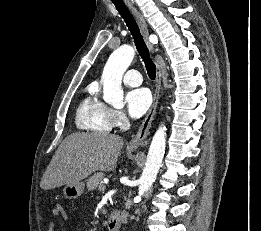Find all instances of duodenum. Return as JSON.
<instances>
[{"mask_svg":"<svg viewBox=\"0 0 261 231\" xmlns=\"http://www.w3.org/2000/svg\"><path fill=\"white\" fill-rule=\"evenodd\" d=\"M124 217L123 212L117 210L113 211L107 219V227L110 231H117L121 225Z\"/></svg>","mask_w":261,"mask_h":231,"instance_id":"obj_1","label":"duodenum"}]
</instances>
